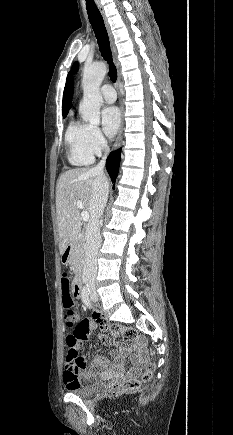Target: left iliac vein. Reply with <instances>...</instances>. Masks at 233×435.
Instances as JSON below:
<instances>
[{
  "instance_id": "obj_1",
  "label": "left iliac vein",
  "mask_w": 233,
  "mask_h": 435,
  "mask_svg": "<svg viewBox=\"0 0 233 435\" xmlns=\"http://www.w3.org/2000/svg\"><path fill=\"white\" fill-rule=\"evenodd\" d=\"M91 299H92V301L97 302V301H98V296H97V294H96V293H92V294H91Z\"/></svg>"
}]
</instances>
